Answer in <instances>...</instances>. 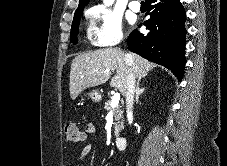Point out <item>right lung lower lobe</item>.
Here are the masks:
<instances>
[{
    "mask_svg": "<svg viewBox=\"0 0 227 166\" xmlns=\"http://www.w3.org/2000/svg\"><path fill=\"white\" fill-rule=\"evenodd\" d=\"M149 20L147 34L133 31L128 39L129 50L151 62L169 68L179 80L185 66V10L180 0H146Z\"/></svg>",
    "mask_w": 227,
    "mask_h": 166,
    "instance_id": "1",
    "label": "right lung lower lobe"
}]
</instances>
